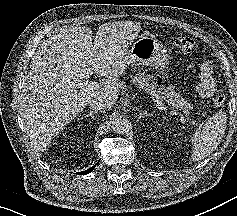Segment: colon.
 Returning <instances> with one entry per match:
<instances>
[{
  "label": "colon",
  "mask_w": 237,
  "mask_h": 216,
  "mask_svg": "<svg viewBox=\"0 0 237 216\" xmlns=\"http://www.w3.org/2000/svg\"><path fill=\"white\" fill-rule=\"evenodd\" d=\"M174 46L180 52L189 53L194 47V41L191 37L183 35L175 38ZM225 100L226 98L223 94H217L214 97V103L216 106L224 105Z\"/></svg>",
  "instance_id": "1"
}]
</instances>
